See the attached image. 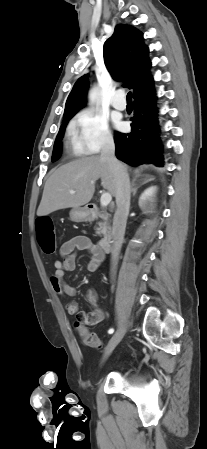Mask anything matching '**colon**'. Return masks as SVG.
<instances>
[{"instance_id": "colon-1", "label": "colon", "mask_w": 207, "mask_h": 449, "mask_svg": "<svg viewBox=\"0 0 207 449\" xmlns=\"http://www.w3.org/2000/svg\"><path fill=\"white\" fill-rule=\"evenodd\" d=\"M37 238L41 250L44 253H53L56 248L54 226L48 217H40L36 222ZM75 328L79 331L84 343L93 348H99L101 341L97 334L89 331L84 327L80 320L74 323Z\"/></svg>"}]
</instances>
